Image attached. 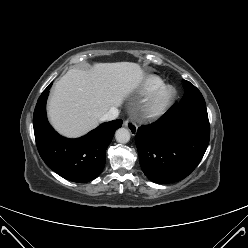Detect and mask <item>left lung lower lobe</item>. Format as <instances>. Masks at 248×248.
I'll return each mask as SVG.
<instances>
[{
  "label": "left lung lower lobe",
  "mask_w": 248,
  "mask_h": 248,
  "mask_svg": "<svg viewBox=\"0 0 248 248\" xmlns=\"http://www.w3.org/2000/svg\"><path fill=\"white\" fill-rule=\"evenodd\" d=\"M209 138L204 98L176 103L156 122L138 129L136 145L141 168L155 183L177 182L199 164Z\"/></svg>",
  "instance_id": "left-lung-lower-lobe-1"
}]
</instances>
